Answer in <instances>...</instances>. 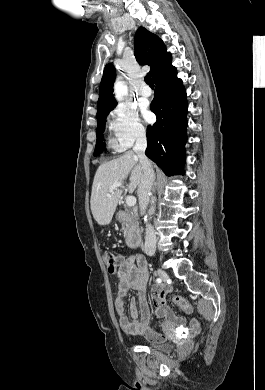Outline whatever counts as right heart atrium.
<instances>
[{
  "label": "right heart atrium",
  "instance_id": "d8ad5b80",
  "mask_svg": "<svg viewBox=\"0 0 265 390\" xmlns=\"http://www.w3.org/2000/svg\"><path fill=\"white\" fill-rule=\"evenodd\" d=\"M109 129L113 134V144L119 150L130 148L135 142L144 140L146 135L138 112L125 104H119L111 110Z\"/></svg>",
  "mask_w": 265,
  "mask_h": 390
}]
</instances>
